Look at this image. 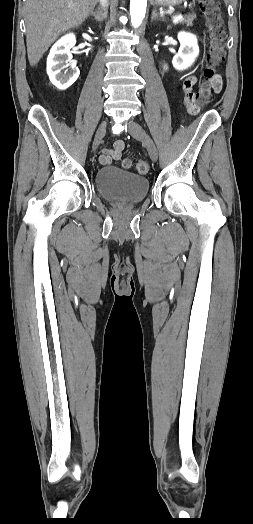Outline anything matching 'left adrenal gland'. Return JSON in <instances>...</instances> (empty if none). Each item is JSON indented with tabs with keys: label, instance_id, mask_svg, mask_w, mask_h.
<instances>
[{
	"label": "left adrenal gland",
	"instance_id": "obj_1",
	"mask_svg": "<svg viewBox=\"0 0 253 524\" xmlns=\"http://www.w3.org/2000/svg\"><path fill=\"white\" fill-rule=\"evenodd\" d=\"M158 17H160V16H159V13L157 12L156 9H153V11H152V15H151V21L157 19Z\"/></svg>",
	"mask_w": 253,
	"mask_h": 524
}]
</instances>
